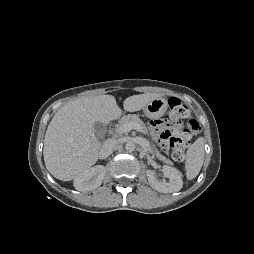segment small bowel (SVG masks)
I'll use <instances>...</instances> for the list:
<instances>
[{"label":"small bowel","mask_w":254,"mask_h":254,"mask_svg":"<svg viewBox=\"0 0 254 254\" xmlns=\"http://www.w3.org/2000/svg\"><path fill=\"white\" fill-rule=\"evenodd\" d=\"M169 125L170 123L167 120H158L152 122L151 128H153L154 137L160 141V132Z\"/></svg>","instance_id":"1"}]
</instances>
